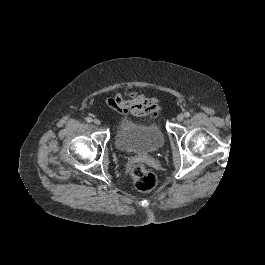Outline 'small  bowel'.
<instances>
[{
  "mask_svg": "<svg viewBox=\"0 0 265 265\" xmlns=\"http://www.w3.org/2000/svg\"><path fill=\"white\" fill-rule=\"evenodd\" d=\"M125 99L121 93H115L113 97L106 100L108 107L118 115H133L135 117L155 118L160 106L158 100L148 98L138 91L126 93Z\"/></svg>",
  "mask_w": 265,
  "mask_h": 265,
  "instance_id": "small-bowel-1",
  "label": "small bowel"
}]
</instances>
